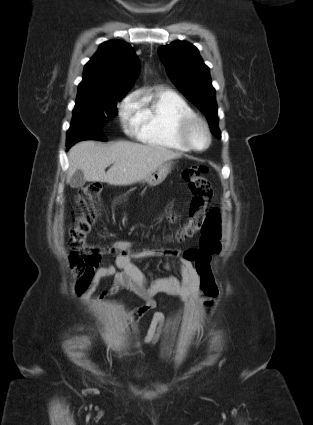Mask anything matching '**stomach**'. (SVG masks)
Here are the masks:
<instances>
[{
  "mask_svg": "<svg viewBox=\"0 0 313 425\" xmlns=\"http://www.w3.org/2000/svg\"><path fill=\"white\" fill-rule=\"evenodd\" d=\"M171 165L172 162L170 161L162 163L157 169L152 171L146 178H144V182L150 186H157L161 184L169 174Z\"/></svg>",
  "mask_w": 313,
  "mask_h": 425,
  "instance_id": "obj_1",
  "label": "stomach"
}]
</instances>
